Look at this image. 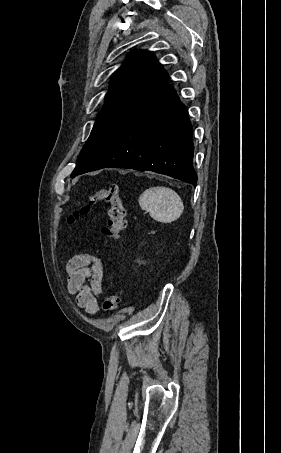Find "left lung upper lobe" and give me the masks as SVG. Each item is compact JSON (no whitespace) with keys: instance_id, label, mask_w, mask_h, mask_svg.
I'll return each mask as SVG.
<instances>
[{"instance_id":"obj_1","label":"left lung upper lobe","mask_w":281,"mask_h":453,"mask_svg":"<svg viewBox=\"0 0 281 453\" xmlns=\"http://www.w3.org/2000/svg\"><path fill=\"white\" fill-rule=\"evenodd\" d=\"M162 70V65L155 61L151 52H139L127 59L113 74L104 107L72 174L84 168L100 152L140 103Z\"/></svg>"}]
</instances>
